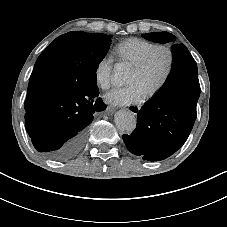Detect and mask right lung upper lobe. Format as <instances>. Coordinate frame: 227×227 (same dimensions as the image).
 Wrapping results in <instances>:
<instances>
[{"label":"right lung upper lobe","mask_w":227,"mask_h":227,"mask_svg":"<svg viewBox=\"0 0 227 227\" xmlns=\"http://www.w3.org/2000/svg\"><path fill=\"white\" fill-rule=\"evenodd\" d=\"M67 79L68 74L66 73L36 64L29 80L25 110L29 111L45 95L53 91L63 90Z\"/></svg>","instance_id":"cb5924a9"}]
</instances>
